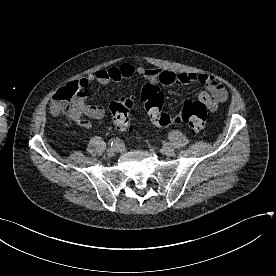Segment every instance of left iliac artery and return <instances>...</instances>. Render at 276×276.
<instances>
[{"instance_id":"left-iliac-artery-1","label":"left iliac artery","mask_w":276,"mask_h":276,"mask_svg":"<svg viewBox=\"0 0 276 276\" xmlns=\"http://www.w3.org/2000/svg\"><path fill=\"white\" fill-rule=\"evenodd\" d=\"M163 147H164V149H171L172 144L171 143H165Z\"/></svg>"}]
</instances>
